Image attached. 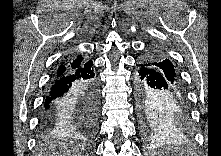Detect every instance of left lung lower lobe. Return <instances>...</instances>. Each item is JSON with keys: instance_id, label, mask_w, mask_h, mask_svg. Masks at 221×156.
Segmentation results:
<instances>
[{"instance_id": "left-lung-lower-lobe-1", "label": "left lung lower lobe", "mask_w": 221, "mask_h": 156, "mask_svg": "<svg viewBox=\"0 0 221 156\" xmlns=\"http://www.w3.org/2000/svg\"><path fill=\"white\" fill-rule=\"evenodd\" d=\"M136 75L140 129L145 141L180 134L191 126L190 107L175 75L138 60Z\"/></svg>"}]
</instances>
